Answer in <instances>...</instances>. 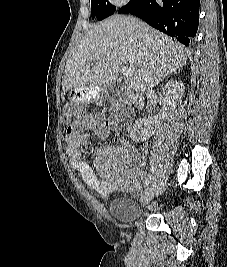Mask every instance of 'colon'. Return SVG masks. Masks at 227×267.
<instances>
[{
    "label": "colon",
    "instance_id": "colon-1",
    "mask_svg": "<svg viewBox=\"0 0 227 267\" xmlns=\"http://www.w3.org/2000/svg\"><path fill=\"white\" fill-rule=\"evenodd\" d=\"M111 109L115 112H125L128 110V105L124 104L121 100L116 99L112 102ZM83 115V110L76 104H66L63 108V116L66 121L82 119Z\"/></svg>",
    "mask_w": 227,
    "mask_h": 267
}]
</instances>
